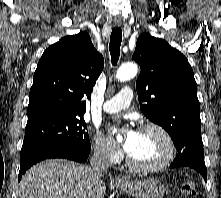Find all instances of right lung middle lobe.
Returning <instances> with one entry per match:
<instances>
[{
	"mask_svg": "<svg viewBox=\"0 0 221 198\" xmlns=\"http://www.w3.org/2000/svg\"><path fill=\"white\" fill-rule=\"evenodd\" d=\"M83 114L49 115L28 121L20 158L56 144L90 150L91 144Z\"/></svg>",
	"mask_w": 221,
	"mask_h": 198,
	"instance_id": "obj_1",
	"label": "right lung middle lobe"
}]
</instances>
